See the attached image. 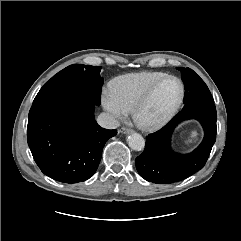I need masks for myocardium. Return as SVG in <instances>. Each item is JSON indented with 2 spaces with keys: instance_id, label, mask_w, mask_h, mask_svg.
Listing matches in <instances>:
<instances>
[{
  "instance_id": "myocardium-1",
  "label": "myocardium",
  "mask_w": 241,
  "mask_h": 241,
  "mask_svg": "<svg viewBox=\"0 0 241 241\" xmlns=\"http://www.w3.org/2000/svg\"><path fill=\"white\" fill-rule=\"evenodd\" d=\"M168 79H173L176 80L179 85H180V95L176 103L161 117L153 119V120H145L141 117V113L143 109L146 107V105L149 103L151 100L154 92L156 89L159 87L161 83H163L165 80ZM185 97V86L183 81L174 75H165L155 81L146 91L145 93L141 96V98L136 102L134 105L132 111V118L134 122L136 123L137 126H139L142 129L145 130H154L157 128H160L161 126L165 125L169 120L173 118V116L177 113L179 110L180 106L183 103Z\"/></svg>"
}]
</instances>
